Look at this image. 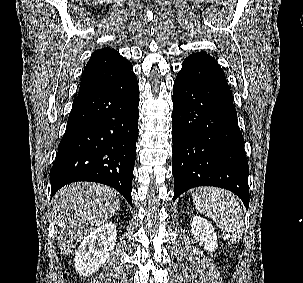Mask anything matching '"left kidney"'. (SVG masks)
Instances as JSON below:
<instances>
[{
    "mask_svg": "<svg viewBox=\"0 0 303 283\" xmlns=\"http://www.w3.org/2000/svg\"><path fill=\"white\" fill-rule=\"evenodd\" d=\"M192 233L194 238L204 246L205 250L210 252L215 251L217 248V235L212 224L205 218L194 216L192 220Z\"/></svg>",
    "mask_w": 303,
    "mask_h": 283,
    "instance_id": "5707ae66",
    "label": "left kidney"
}]
</instances>
